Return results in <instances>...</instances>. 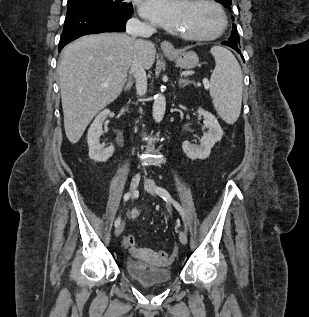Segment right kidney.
Listing matches in <instances>:
<instances>
[{"mask_svg": "<svg viewBox=\"0 0 309 317\" xmlns=\"http://www.w3.org/2000/svg\"><path fill=\"white\" fill-rule=\"evenodd\" d=\"M109 114L110 110L108 109L100 112L88 130L87 142L89 146V157L96 162L107 161L115 150L113 145L104 148V146L100 144V136L103 133L102 125Z\"/></svg>", "mask_w": 309, "mask_h": 317, "instance_id": "ca27d5eb", "label": "right kidney"}]
</instances>
